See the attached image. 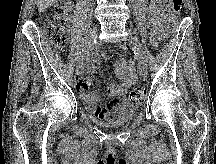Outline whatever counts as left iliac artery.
I'll return each instance as SVG.
<instances>
[{
  "label": "left iliac artery",
  "mask_w": 216,
  "mask_h": 164,
  "mask_svg": "<svg viewBox=\"0 0 216 164\" xmlns=\"http://www.w3.org/2000/svg\"><path fill=\"white\" fill-rule=\"evenodd\" d=\"M132 52L135 54V58L137 59V60H136V65H141V60H139V58H140V53L137 52V49H136V48H133V49H132Z\"/></svg>",
  "instance_id": "left-iliac-artery-1"
}]
</instances>
